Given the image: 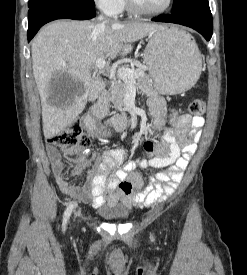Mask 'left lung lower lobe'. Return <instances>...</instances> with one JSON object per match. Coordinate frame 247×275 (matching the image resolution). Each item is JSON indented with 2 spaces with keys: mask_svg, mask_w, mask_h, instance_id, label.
<instances>
[{
  "mask_svg": "<svg viewBox=\"0 0 247 275\" xmlns=\"http://www.w3.org/2000/svg\"><path fill=\"white\" fill-rule=\"evenodd\" d=\"M152 20L188 26L202 34L207 41L211 39L213 33V20L209 6L195 8L178 14L161 15Z\"/></svg>",
  "mask_w": 247,
  "mask_h": 275,
  "instance_id": "1",
  "label": "left lung lower lobe"
}]
</instances>
